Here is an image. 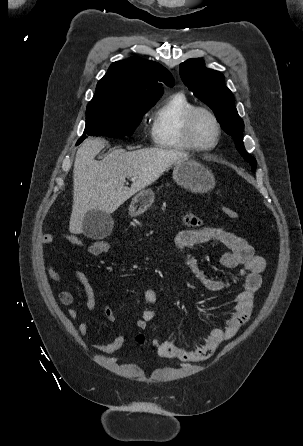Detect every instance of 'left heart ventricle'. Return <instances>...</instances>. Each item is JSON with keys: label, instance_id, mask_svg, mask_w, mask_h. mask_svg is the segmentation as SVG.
Masks as SVG:
<instances>
[{"label": "left heart ventricle", "instance_id": "left-heart-ventricle-1", "mask_svg": "<svg viewBox=\"0 0 303 446\" xmlns=\"http://www.w3.org/2000/svg\"><path fill=\"white\" fill-rule=\"evenodd\" d=\"M195 141L202 146L211 145L216 137V130L212 120L204 113L196 115L192 127Z\"/></svg>", "mask_w": 303, "mask_h": 446}]
</instances>
